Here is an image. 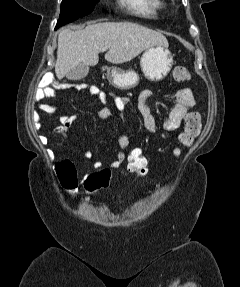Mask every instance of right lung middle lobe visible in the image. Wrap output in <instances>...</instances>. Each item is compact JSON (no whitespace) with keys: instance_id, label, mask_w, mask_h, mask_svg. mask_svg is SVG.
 I'll return each mask as SVG.
<instances>
[{"instance_id":"dd1d6c3e","label":"right lung middle lobe","mask_w":240,"mask_h":287,"mask_svg":"<svg viewBox=\"0 0 240 287\" xmlns=\"http://www.w3.org/2000/svg\"><path fill=\"white\" fill-rule=\"evenodd\" d=\"M99 0H63L56 29L91 13Z\"/></svg>"}]
</instances>
